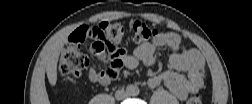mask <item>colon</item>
I'll use <instances>...</instances> for the list:
<instances>
[{"label":"colon","mask_w":252,"mask_h":104,"mask_svg":"<svg viewBox=\"0 0 252 104\" xmlns=\"http://www.w3.org/2000/svg\"><path fill=\"white\" fill-rule=\"evenodd\" d=\"M159 32L154 27L141 20H135L127 25L117 21L104 22L98 25H81L71 35L69 42L61 51L58 62L59 74L72 80L79 78L88 65V58L81 52L82 44L94 40L96 53L107 64L106 74L110 79H116L122 66L125 46L129 42L145 43L154 40ZM201 97L193 94L189 102L198 104Z\"/></svg>","instance_id":"colon-1"}]
</instances>
